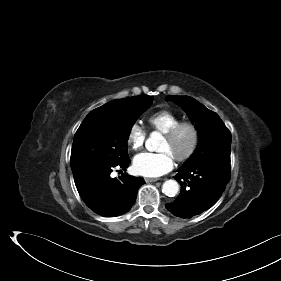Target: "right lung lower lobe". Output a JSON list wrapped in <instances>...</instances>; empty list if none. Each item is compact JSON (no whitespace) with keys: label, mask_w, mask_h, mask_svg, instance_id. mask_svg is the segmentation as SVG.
Returning <instances> with one entry per match:
<instances>
[{"label":"right lung lower lobe","mask_w":281,"mask_h":281,"mask_svg":"<svg viewBox=\"0 0 281 281\" xmlns=\"http://www.w3.org/2000/svg\"><path fill=\"white\" fill-rule=\"evenodd\" d=\"M129 163L130 159H127L118 164L96 163L72 170L79 195L92 211L104 217H113L132 207L139 187L145 183L143 177L127 174L119 179L110 177L113 167L120 166L126 170Z\"/></svg>","instance_id":"right-lung-lower-lobe-1"}]
</instances>
